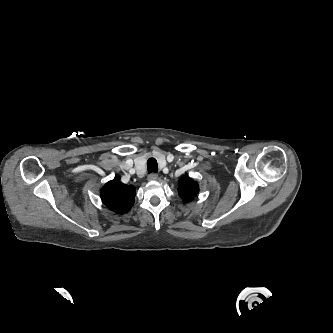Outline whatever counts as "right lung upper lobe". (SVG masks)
Listing matches in <instances>:
<instances>
[{
    "instance_id": "cb5924a9",
    "label": "right lung upper lobe",
    "mask_w": 333,
    "mask_h": 333,
    "mask_svg": "<svg viewBox=\"0 0 333 333\" xmlns=\"http://www.w3.org/2000/svg\"><path fill=\"white\" fill-rule=\"evenodd\" d=\"M103 203L116 213L128 212L134 204L136 189L118 179L107 182L100 192Z\"/></svg>"
}]
</instances>
